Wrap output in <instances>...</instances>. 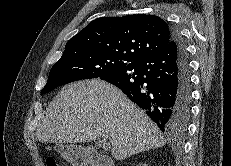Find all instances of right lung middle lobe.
<instances>
[{
	"label": "right lung middle lobe",
	"mask_w": 231,
	"mask_h": 166,
	"mask_svg": "<svg viewBox=\"0 0 231 166\" xmlns=\"http://www.w3.org/2000/svg\"><path fill=\"white\" fill-rule=\"evenodd\" d=\"M129 63V60L93 51L63 55L50 70L47 84L41 91V95L77 80L100 78Z\"/></svg>",
	"instance_id": "obj_1"
}]
</instances>
